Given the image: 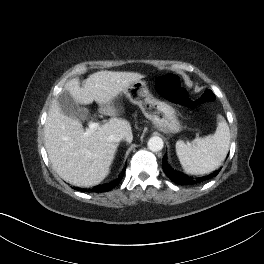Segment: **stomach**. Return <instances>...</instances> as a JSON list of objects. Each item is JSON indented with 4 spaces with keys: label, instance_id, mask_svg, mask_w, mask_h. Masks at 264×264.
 Returning a JSON list of instances; mask_svg holds the SVG:
<instances>
[{
    "label": "stomach",
    "instance_id": "obj_1",
    "mask_svg": "<svg viewBox=\"0 0 264 264\" xmlns=\"http://www.w3.org/2000/svg\"><path fill=\"white\" fill-rule=\"evenodd\" d=\"M124 93L130 101L138 105L155 128L165 133H178L182 126L175 109L166 102L156 99L149 91L145 81L133 82Z\"/></svg>",
    "mask_w": 264,
    "mask_h": 264
}]
</instances>
